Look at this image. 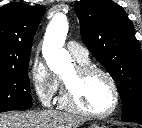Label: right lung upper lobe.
Returning <instances> with one entry per match:
<instances>
[{
  "label": "right lung upper lobe",
  "mask_w": 142,
  "mask_h": 128,
  "mask_svg": "<svg viewBox=\"0 0 142 128\" xmlns=\"http://www.w3.org/2000/svg\"><path fill=\"white\" fill-rule=\"evenodd\" d=\"M44 12L42 5L20 2L0 8V69L29 62L33 37Z\"/></svg>",
  "instance_id": "right-lung-upper-lobe-1"
}]
</instances>
